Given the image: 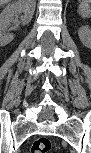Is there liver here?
<instances>
[{"mask_svg": "<svg viewBox=\"0 0 91 153\" xmlns=\"http://www.w3.org/2000/svg\"><path fill=\"white\" fill-rule=\"evenodd\" d=\"M8 2V0H1V4H5V3H7ZM32 3H35V1H31Z\"/></svg>", "mask_w": 91, "mask_h": 153, "instance_id": "liver-1", "label": "liver"}]
</instances>
